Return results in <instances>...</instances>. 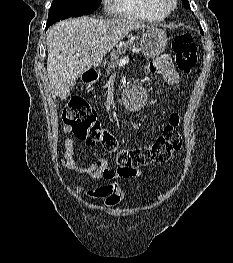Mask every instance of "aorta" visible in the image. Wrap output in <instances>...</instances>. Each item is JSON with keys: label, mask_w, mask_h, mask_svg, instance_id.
Listing matches in <instances>:
<instances>
[{"label": "aorta", "mask_w": 233, "mask_h": 263, "mask_svg": "<svg viewBox=\"0 0 233 263\" xmlns=\"http://www.w3.org/2000/svg\"><path fill=\"white\" fill-rule=\"evenodd\" d=\"M127 105L132 110H139L143 106V98L138 88L133 87L126 98Z\"/></svg>", "instance_id": "aorta-1"}]
</instances>
